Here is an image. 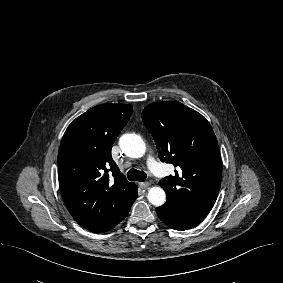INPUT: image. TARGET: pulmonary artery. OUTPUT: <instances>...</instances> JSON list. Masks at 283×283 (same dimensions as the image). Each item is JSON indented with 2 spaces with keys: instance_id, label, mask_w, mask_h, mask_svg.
Here are the masks:
<instances>
[{
  "instance_id": "e3ab8cb5",
  "label": "pulmonary artery",
  "mask_w": 283,
  "mask_h": 283,
  "mask_svg": "<svg viewBox=\"0 0 283 283\" xmlns=\"http://www.w3.org/2000/svg\"><path fill=\"white\" fill-rule=\"evenodd\" d=\"M147 164L153 174L157 176H164V170L154 158H148Z\"/></svg>"
}]
</instances>
